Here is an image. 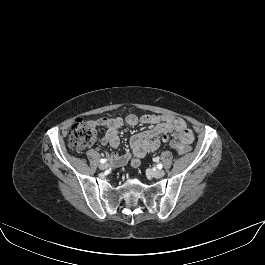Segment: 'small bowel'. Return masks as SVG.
<instances>
[{
	"label": "small bowel",
	"instance_id": "1",
	"mask_svg": "<svg viewBox=\"0 0 265 265\" xmlns=\"http://www.w3.org/2000/svg\"><path fill=\"white\" fill-rule=\"evenodd\" d=\"M125 122L130 126L148 124L152 125L153 128L132 135L130 138L132 153L121 157L113 155L114 165H124L130 162L133 167L140 166V159L156 151L162 142L169 139L170 134L173 132L176 133L177 140L186 144H190L194 139L193 132L188 128L187 123L183 119L168 114H148L141 117L129 114L126 116ZM89 123L95 127H105L107 129L105 135L101 139V144L103 146L109 145L114 149L119 147L120 138L118 129L124 123L121 117L98 118Z\"/></svg>",
	"mask_w": 265,
	"mask_h": 265
}]
</instances>
